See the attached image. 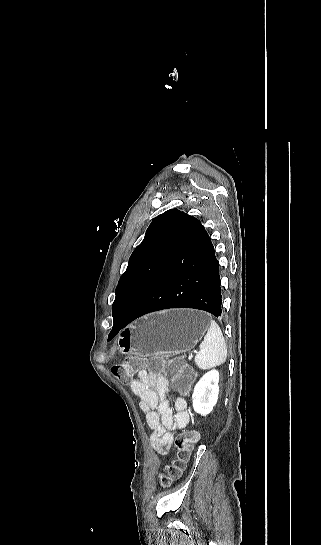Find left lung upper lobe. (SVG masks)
I'll list each match as a JSON object with an SVG mask.
<instances>
[{
	"instance_id": "left-lung-upper-lobe-1",
	"label": "left lung upper lobe",
	"mask_w": 321,
	"mask_h": 545,
	"mask_svg": "<svg viewBox=\"0 0 321 545\" xmlns=\"http://www.w3.org/2000/svg\"><path fill=\"white\" fill-rule=\"evenodd\" d=\"M190 217L171 209L152 220L144 240L130 256L128 267L116 287L113 315H127L132 310L167 260Z\"/></svg>"
}]
</instances>
